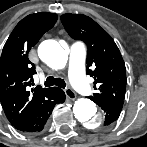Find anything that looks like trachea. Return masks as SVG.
I'll use <instances>...</instances> for the list:
<instances>
[{"instance_id": "1", "label": "trachea", "mask_w": 147, "mask_h": 147, "mask_svg": "<svg viewBox=\"0 0 147 147\" xmlns=\"http://www.w3.org/2000/svg\"><path fill=\"white\" fill-rule=\"evenodd\" d=\"M44 85L46 87H50V86L56 85V86H58L60 88H65V86H66L65 81L63 79H61V78H54L52 76H49L46 79Z\"/></svg>"}]
</instances>
